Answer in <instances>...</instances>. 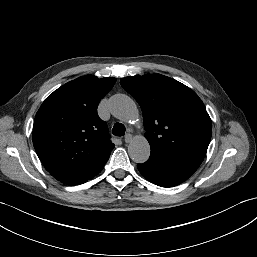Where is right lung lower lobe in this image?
<instances>
[{
    "label": "right lung lower lobe",
    "instance_id": "obj_1",
    "mask_svg": "<svg viewBox=\"0 0 257 257\" xmlns=\"http://www.w3.org/2000/svg\"><path fill=\"white\" fill-rule=\"evenodd\" d=\"M100 171H101V170H100ZM100 171H99V172H100ZM99 172H98V173H99ZM98 173L94 174V175L91 176L89 179H91L92 177H94V176L97 175ZM87 180H88V179H87ZM87 180H85V181H87ZM85 181H84V182H85ZM82 183H83V182H82ZM79 184H80V183H79ZM75 185H76V184H75Z\"/></svg>",
    "mask_w": 257,
    "mask_h": 257
}]
</instances>
